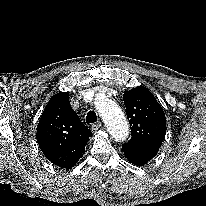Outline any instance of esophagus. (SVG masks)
I'll list each match as a JSON object with an SVG mask.
<instances>
[{
	"mask_svg": "<svg viewBox=\"0 0 206 206\" xmlns=\"http://www.w3.org/2000/svg\"><path fill=\"white\" fill-rule=\"evenodd\" d=\"M102 122L94 123L91 125V130L92 131H97L102 127Z\"/></svg>",
	"mask_w": 206,
	"mask_h": 206,
	"instance_id": "obj_1",
	"label": "esophagus"
}]
</instances>
